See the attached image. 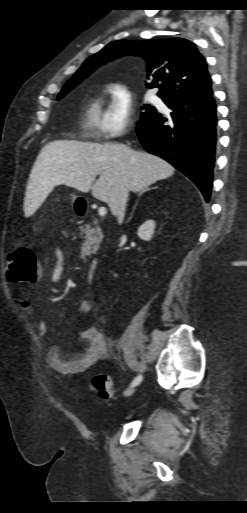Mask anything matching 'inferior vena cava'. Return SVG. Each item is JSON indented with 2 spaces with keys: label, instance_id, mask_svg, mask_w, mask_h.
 Returning a JSON list of instances; mask_svg holds the SVG:
<instances>
[{
  "label": "inferior vena cava",
  "instance_id": "602c4592",
  "mask_svg": "<svg viewBox=\"0 0 247 513\" xmlns=\"http://www.w3.org/2000/svg\"><path fill=\"white\" fill-rule=\"evenodd\" d=\"M129 189L127 187H123L120 193L117 196V200L113 207V210L116 212L118 217V222L121 223L125 214V207L128 200Z\"/></svg>",
  "mask_w": 247,
  "mask_h": 513
}]
</instances>
